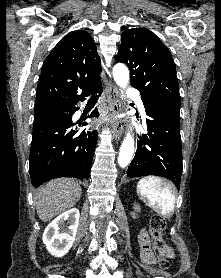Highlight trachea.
Listing matches in <instances>:
<instances>
[{
  "instance_id": "3493384b",
  "label": "trachea",
  "mask_w": 221,
  "mask_h": 278,
  "mask_svg": "<svg viewBox=\"0 0 221 278\" xmlns=\"http://www.w3.org/2000/svg\"><path fill=\"white\" fill-rule=\"evenodd\" d=\"M98 95H94V96H92L91 98H90V100H97L98 99Z\"/></svg>"
}]
</instances>
